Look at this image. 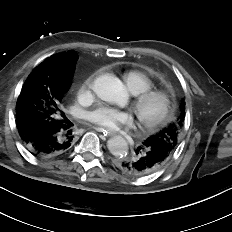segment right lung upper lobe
I'll use <instances>...</instances> for the list:
<instances>
[{
  "mask_svg": "<svg viewBox=\"0 0 232 232\" xmlns=\"http://www.w3.org/2000/svg\"><path fill=\"white\" fill-rule=\"evenodd\" d=\"M76 60H77V53L75 51H68L47 58L35 69L43 66H49L58 71L65 68L71 69V79H72L74 72V63Z\"/></svg>",
  "mask_w": 232,
  "mask_h": 232,
  "instance_id": "right-lung-upper-lobe-1",
  "label": "right lung upper lobe"
}]
</instances>
